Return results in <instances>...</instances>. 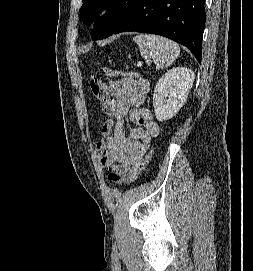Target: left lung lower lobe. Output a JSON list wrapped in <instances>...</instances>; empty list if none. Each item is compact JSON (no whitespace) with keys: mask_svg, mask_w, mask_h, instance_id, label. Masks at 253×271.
Returning <instances> with one entry per match:
<instances>
[{"mask_svg":"<svg viewBox=\"0 0 253 271\" xmlns=\"http://www.w3.org/2000/svg\"><path fill=\"white\" fill-rule=\"evenodd\" d=\"M204 2L205 0H134L129 15L112 34L136 31L162 35L186 46L201 63Z\"/></svg>","mask_w":253,"mask_h":271,"instance_id":"1","label":"left lung lower lobe"}]
</instances>
